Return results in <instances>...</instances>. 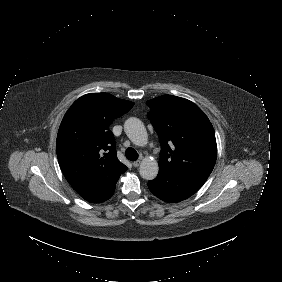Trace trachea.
I'll list each match as a JSON object with an SVG mask.
<instances>
[{"mask_svg":"<svg viewBox=\"0 0 282 282\" xmlns=\"http://www.w3.org/2000/svg\"><path fill=\"white\" fill-rule=\"evenodd\" d=\"M125 156L130 161H136L138 159V153L132 147L126 149Z\"/></svg>","mask_w":282,"mask_h":282,"instance_id":"1","label":"trachea"}]
</instances>
